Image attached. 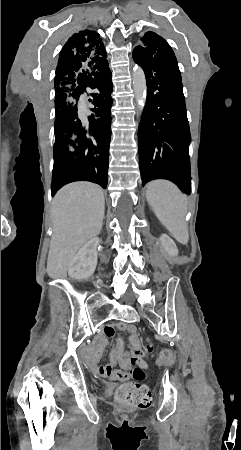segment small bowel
Listing matches in <instances>:
<instances>
[{"label":"small bowel","mask_w":241,"mask_h":450,"mask_svg":"<svg viewBox=\"0 0 241 450\" xmlns=\"http://www.w3.org/2000/svg\"><path fill=\"white\" fill-rule=\"evenodd\" d=\"M117 330L128 334V347L126 348L122 338H116L110 353L109 364L97 367L96 359L100 358V352L107 345V337L113 336ZM103 333L104 336L98 338L93 347L90 348L91 351H95L92 353L89 366L97 377L110 381H127L132 377L131 371L134 368H137L140 364L147 366L142 349L144 340L139 336L138 329L134 324L123 322L108 324L104 326Z\"/></svg>","instance_id":"c3829d8e"}]
</instances>
